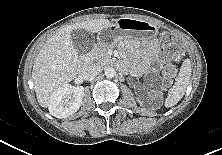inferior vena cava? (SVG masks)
I'll return each mask as SVG.
<instances>
[{
    "instance_id": "inferior-vena-cava-1",
    "label": "inferior vena cava",
    "mask_w": 222,
    "mask_h": 155,
    "mask_svg": "<svg viewBox=\"0 0 222 155\" xmlns=\"http://www.w3.org/2000/svg\"><path fill=\"white\" fill-rule=\"evenodd\" d=\"M102 72V66L99 64H90L86 66L82 71V77L85 80H89L97 76Z\"/></svg>"
}]
</instances>
